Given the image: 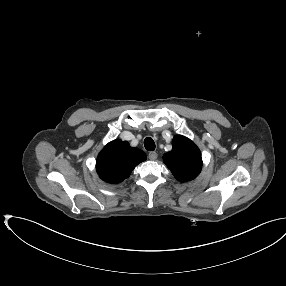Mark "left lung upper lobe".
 I'll return each mask as SVG.
<instances>
[{
    "label": "left lung upper lobe",
    "mask_w": 286,
    "mask_h": 286,
    "mask_svg": "<svg viewBox=\"0 0 286 286\" xmlns=\"http://www.w3.org/2000/svg\"><path fill=\"white\" fill-rule=\"evenodd\" d=\"M172 146V150L163 155L166 166L181 182L195 179L202 168V158L198 147L182 135L173 138Z\"/></svg>",
    "instance_id": "left-lung-upper-lobe-1"
}]
</instances>
